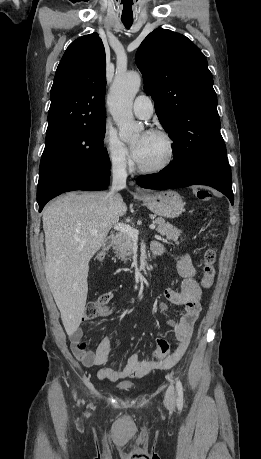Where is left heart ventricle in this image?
<instances>
[{
  "label": "left heart ventricle",
  "mask_w": 261,
  "mask_h": 459,
  "mask_svg": "<svg viewBox=\"0 0 261 459\" xmlns=\"http://www.w3.org/2000/svg\"><path fill=\"white\" fill-rule=\"evenodd\" d=\"M141 135L133 140L135 145ZM167 155V146L165 141L153 134H149L142 149V156L138 162L142 166H154L162 162Z\"/></svg>",
  "instance_id": "b2bd125f"
}]
</instances>
